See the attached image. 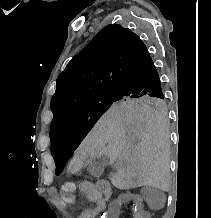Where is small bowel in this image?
Listing matches in <instances>:
<instances>
[{"label": "small bowel", "instance_id": "obj_1", "mask_svg": "<svg viewBox=\"0 0 211 218\" xmlns=\"http://www.w3.org/2000/svg\"><path fill=\"white\" fill-rule=\"evenodd\" d=\"M80 192L86 197V199L94 204V207L82 210L79 213L78 218H95L96 215L101 213L106 206L105 199L101 195V191L97 187V183L92 181H84L79 185ZM52 194H56V190L51 191ZM132 218H147L148 214L140 207H135L131 210Z\"/></svg>", "mask_w": 211, "mask_h": 218}]
</instances>
